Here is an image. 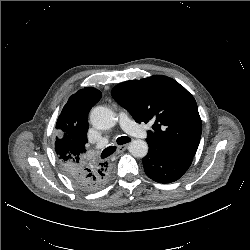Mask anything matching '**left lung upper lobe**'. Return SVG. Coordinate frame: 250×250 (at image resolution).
<instances>
[{
    "instance_id": "1",
    "label": "left lung upper lobe",
    "mask_w": 250,
    "mask_h": 250,
    "mask_svg": "<svg viewBox=\"0 0 250 250\" xmlns=\"http://www.w3.org/2000/svg\"><path fill=\"white\" fill-rule=\"evenodd\" d=\"M111 94L136 122H153L149 146L175 156H195L202 122L195 99L177 81L155 75L122 82Z\"/></svg>"
}]
</instances>
